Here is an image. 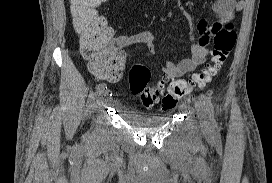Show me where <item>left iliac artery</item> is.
I'll use <instances>...</instances> for the list:
<instances>
[{
    "mask_svg": "<svg viewBox=\"0 0 272 183\" xmlns=\"http://www.w3.org/2000/svg\"><path fill=\"white\" fill-rule=\"evenodd\" d=\"M203 101L204 106L206 107V110L208 112L209 115V119H210V124H211V130L213 132V134L215 136L219 135V129H218V124L216 122V118H215V112H214V106L211 102V99L205 95H201L200 97Z\"/></svg>",
    "mask_w": 272,
    "mask_h": 183,
    "instance_id": "44dca946",
    "label": "left iliac artery"
}]
</instances>
